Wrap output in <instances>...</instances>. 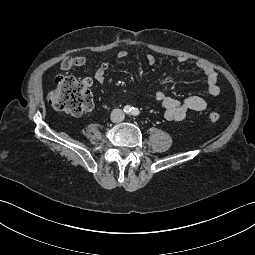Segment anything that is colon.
Masks as SVG:
<instances>
[{
    "mask_svg": "<svg viewBox=\"0 0 255 255\" xmlns=\"http://www.w3.org/2000/svg\"><path fill=\"white\" fill-rule=\"evenodd\" d=\"M48 103L57 111L80 116L93 107V96L82 81L71 75L59 74L55 78V88L48 95ZM208 118L217 123L220 115L216 111H210Z\"/></svg>",
    "mask_w": 255,
    "mask_h": 255,
    "instance_id": "colon-1",
    "label": "colon"
}]
</instances>
